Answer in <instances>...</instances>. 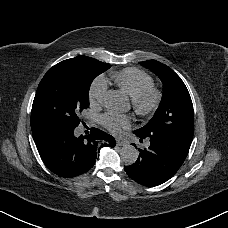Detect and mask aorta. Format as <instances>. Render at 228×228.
<instances>
[{
  "mask_svg": "<svg viewBox=\"0 0 228 228\" xmlns=\"http://www.w3.org/2000/svg\"><path fill=\"white\" fill-rule=\"evenodd\" d=\"M105 106L109 109L125 111L128 108L127 97L117 90L108 91ZM121 159L127 165L134 164L139 156L138 150L132 145H124L120 152Z\"/></svg>",
  "mask_w": 228,
  "mask_h": 228,
  "instance_id": "1",
  "label": "aorta"
}]
</instances>
